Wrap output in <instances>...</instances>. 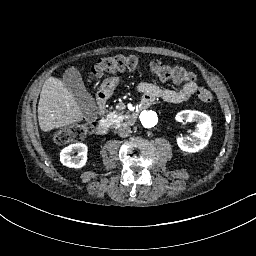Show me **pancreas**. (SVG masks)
Wrapping results in <instances>:
<instances>
[{
    "label": "pancreas",
    "instance_id": "1",
    "mask_svg": "<svg viewBox=\"0 0 256 256\" xmlns=\"http://www.w3.org/2000/svg\"><path fill=\"white\" fill-rule=\"evenodd\" d=\"M126 105L120 103L117 105L116 110H111L108 114V119L112 123V128H117L119 125L128 124L132 125L136 119L133 116L125 113Z\"/></svg>",
    "mask_w": 256,
    "mask_h": 256
}]
</instances>
